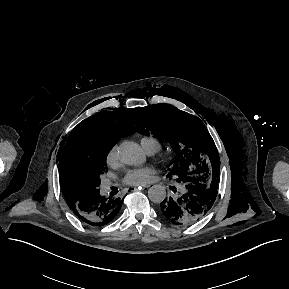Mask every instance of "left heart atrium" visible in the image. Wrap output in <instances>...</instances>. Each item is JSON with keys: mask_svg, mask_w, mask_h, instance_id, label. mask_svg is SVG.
Here are the masks:
<instances>
[{"mask_svg": "<svg viewBox=\"0 0 289 289\" xmlns=\"http://www.w3.org/2000/svg\"><path fill=\"white\" fill-rule=\"evenodd\" d=\"M153 174L151 168L132 169L125 174L123 181L129 185H144L152 180Z\"/></svg>", "mask_w": 289, "mask_h": 289, "instance_id": "obj_1", "label": "left heart atrium"}]
</instances>
